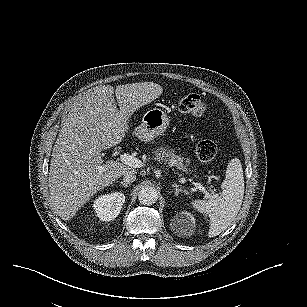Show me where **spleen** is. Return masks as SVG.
<instances>
[{
	"label": "spleen",
	"mask_w": 307,
	"mask_h": 307,
	"mask_svg": "<svg viewBox=\"0 0 307 307\" xmlns=\"http://www.w3.org/2000/svg\"><path fill=\"white\" fill-rule=\"evenodd\" d=\"M222 193L210 200H194L192 207L210 217L208 236L215 237L225 231L236 218L244 197V176L238 158L231 159L221 184Z\"/></svg>",
	"instance_id": "3e777b00"
}]
</instances>
